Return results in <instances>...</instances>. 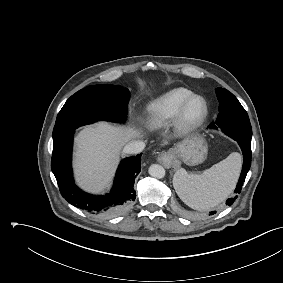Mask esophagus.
Masks as SVG:
<instances>
[{
    "mask_svg": "<svg viewBox=\"0 0 283 283\" xmlns=\"http://www.w3.org/2000/svg\"><path fill=\"white\" fill-rule=\"evenodd\" d=\"M157 160L165 167H170L173 164V156L170 152L161 153Z\"/></svg>",
    "mask_w": 283,
    "mask_h": 283,
    "instance_id": "1",
    "label": "esophagus"
}]
</instances>
